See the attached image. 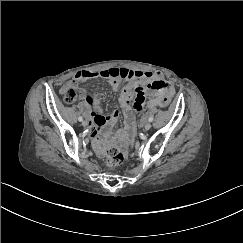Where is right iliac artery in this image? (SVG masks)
Listing matches in <instances>:
<instances>
[{
    "label": "right iliac artery",
    "mask_w": 243,
    "mask_h": 243,
    "mask_svg": "<svg viewBox=\"0 0 243 243\" xmlns=\"http://www.w3.org/2000/svg\"><path fill=\"white\" fill-rule=\"evenodd\" d=\"M78 120L79 121H82L83 120L82 116H79Z\"/></svg>",
    "instance_id": "1"
}]
</instances>
